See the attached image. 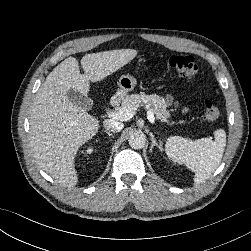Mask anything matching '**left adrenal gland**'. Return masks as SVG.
<instances>
[{
	"instance_id": "left-adrenal-gland-1",
	"label": "left adrenal gland",
	"mask_w": 251,
	"mask_h": 251,
	"mask_svg": "<svg viewBox=\"0 0 251 251\" xmlns=\"http://www.w3.org/2000/svg\"><path fill=\"white\" fill-rule=\"evenodd\" d=\"M150 136H151V140H152V144H151V149L154 147V146H157L158 148H160V146L158 145V143L156 142V139L154 138V135L152 133H150Z\"/></svg>"
}]
</instances>
